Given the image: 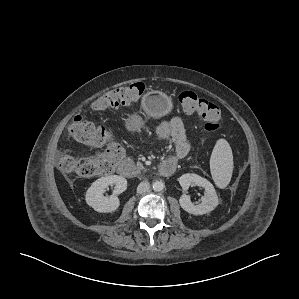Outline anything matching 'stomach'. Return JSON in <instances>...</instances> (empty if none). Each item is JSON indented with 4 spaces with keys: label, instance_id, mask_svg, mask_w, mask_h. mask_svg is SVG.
<instances>
[{
    "label": "stomach",
    "instance_id": "obj_1",
    "mask_svg": "<svg viewBox=\"0 0 299 299\" xmlns=\"http://www.w3.org/2000/svg\"><path fill=\"white\" fill-rule=\"evenodd\" d=\"M141 107L148 117L158 119L168 115L173 109L172 98L159 90L147 92L141 100ZM129 127L136 130L142 126V120L138 115L129 119Z\"/></svg>",
    "mask_w": 299,
    "mask_h": 299
}]
</instances>
